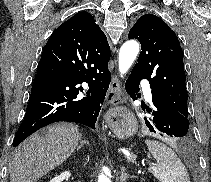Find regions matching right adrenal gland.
Masks as SVG:
<instances>
[{
  "instance_id": "right-adrenal-gland-1",
  "label": "right adrenal gland",
  "mask_w": 211,
  "mask_h": 182,
  "mask_svg": "<svg viewBox=\"0 0 211 182\" xmlns=\"http://www.w3.org/2000/svg\"><path fill=\"white\" fill-rule=\"evenodd\" d=\"M84 144L89 145L88 141H86V140H81V141H80V144L77 146V150H80V149L84 146Z\"/></svg>"
}]
</instances>
